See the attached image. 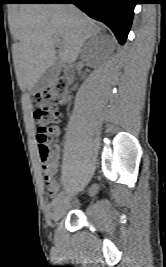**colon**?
Returning a JSON list of instances; mask_svg holds the SVG:
<instances>
[{"mask_svg": "<svg viewBox=\"0 0 166 267\" xmlns=\"http://www.w3.org/2000/svg\"><path fill=\"white\" fill-rule=\"evenodd\" d=\"M70 101V87L65 79L56 80L34 97L33 116L38 126V150L46 177L55 170V146L51 143V137L57 132V124L62 118L59 107L68 105Z\"/></svg>", "mask_w": 166, "mask_h": 267, "instance_id": "obj_1", "label": "colon"}]
</instances>
